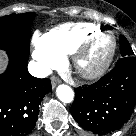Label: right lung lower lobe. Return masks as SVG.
<instances>
[{
  "label": "right lung lower lobe",
  "instance_id": "1",
  "mask_svg": "<svg viewBox=\"0 0 136 136\" xmlns=\"http://www.w3.org/2000/svg\"><path fill=\"white\" fill-rule=\"evenodd\" d=\"M7 54L9 65L0 75V136H26L37 121L42 98L52 90L51 82L28 73V53Z\"/></svg>",
  "mask_w": 136,
  "mask_h": 136
}]
</instances>
